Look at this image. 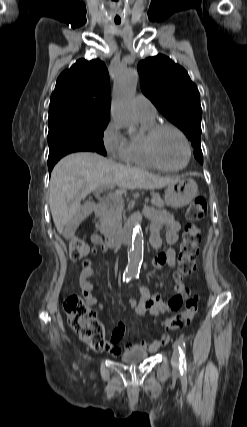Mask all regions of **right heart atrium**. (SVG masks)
Segmentation results:
<instances>
[{
    "label": "right heart atrium",
    "instance_id": "1",
    "mask_svg": "<svg viewBox=\"0 0 247 427\" xmlns=\"http://www.w3.org/2000/svg\"><path fill=\"white\" fill-rule=\"evenodd\" d=\"M102 143L106 152L115 159L125 161L127 138L115 121L110 120L102 132Z\"/></svg>",
    "mask_w": 247,
    "mask_h": 427
}]
</instances>
